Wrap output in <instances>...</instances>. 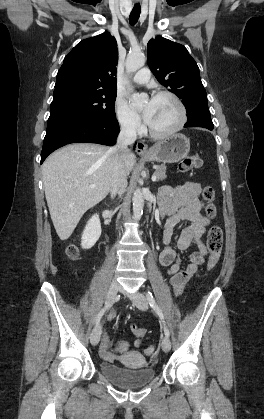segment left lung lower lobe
Returning a JSON list of instances; mask_svg holds the SVG:
<instances>
[{"mask_svg":"<svg viewBox=\"0 0 264 419\" xmlns=\"http://www.w3.org/2000/svg\"><path fill=\"white\" fill-rule=\"evenodd\" d=\"M188 121L184 127H203L209 130L213 129V123L210 117V112L208 108H205L203 111H193L187 113Z\"/></svg>","mask_w":264,"mask_h":419,"instance_id":"obj_1","label":"left lung lower lobe"}]
</instances>
